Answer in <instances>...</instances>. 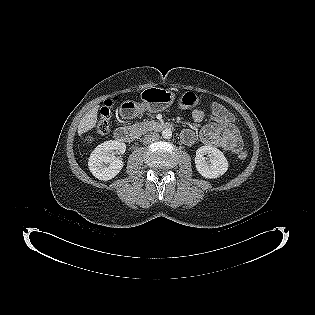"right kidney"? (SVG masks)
Segmentation results:
<instances>
[{
	"label": "right kidney",
	"instance_id": "obj_1",
	"mask_svg": "<svg viewBox=\"0 0 315 315\" xmlns=\"http://www.w3.org/2000/svg\"><path fill=\"white\" fill-rule=\"evenodd\" d=\"M125 150V143L115 140L98 145L88 161L90 172L99 180L108 181L114 178L123 168V161L115 153L123 154Z\"/></svg>",
	"mask_w": 315,
	"mask_h": 315
}]
</instances>
